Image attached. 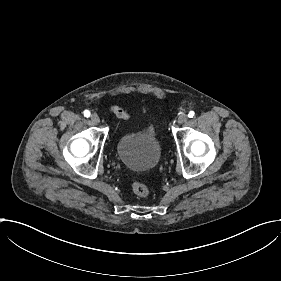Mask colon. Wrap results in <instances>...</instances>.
Returning <instances> with one entry per match:
<instances>
[{"instance_id": "5ec220e1", "label": "colon", "mask_w": 281, "mask_h": 281, "mask_svg": "<svg viewBox=\"0 0 281 281\" xmlns=\"http://www.w3.org/2000/svg\"><path fill=\"white\" fill-rule=\"evenodd\" d=\"M130 190L133 196L136 198H145L151 193L150 186L146 182L139 179H134L131 181Z\"/></svg>"}]
</instances>
